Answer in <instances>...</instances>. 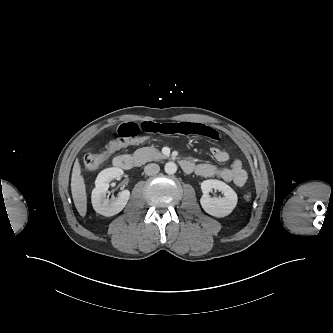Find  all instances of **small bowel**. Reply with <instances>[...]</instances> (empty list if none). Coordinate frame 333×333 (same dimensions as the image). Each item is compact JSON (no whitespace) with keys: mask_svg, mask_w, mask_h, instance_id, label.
I'll list each match as a JSON object with an SVG mask.
<instances>
[{"mask_svg":"<svg viewBox=\"0 0 333 333\" xmlns=\"http://www.w3.org/2000/svg\"><path fill=\"white\" fill-rule=\"evenodd\" d=\"M117 132L120 137L126 138L136 137L141 132H147L167 135H199L207 137L211 140L218 139V133L215 129L201 123L191 122H128L121 124L118 127ZM210 152L212 156L219 162H227L230 159V154L226 150L220 149L218 147H212ZM191 172H195L197 175L206 178L217 177L225 182H232L238 187L244 186L248 178L247 172L243 168L241 160L238 158L233 159L229 167L220 168L210 163H201L194 165V168Z\"/></svg>","mask_w":333,"mask_h":333,"instance_id":"c3829d8e","label":"small bowel"}]
</instances>
